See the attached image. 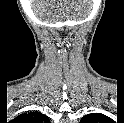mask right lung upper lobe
Here are the masks:
<instances>
[{
	"mask_svg": "<svg viewBox=\"0 0 124 123\" xmlns=\"http://www.w3.org/2000/svg\"><path fill=\"white\" fill-rule=\"evenodd\" d=\"M16 119L22 123H49V118L40 112L23 113Z\"/></svg>",
	"mask_w": 124,
	"mask_h": 123,
	"instance_id": "right-lung-upper-lobe-1",
	"label": "right lung upper lobe"
}]
</instances>
